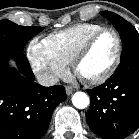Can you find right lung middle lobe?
<instances>
[{"label":"right lung middle lobe","mask_w":139,"mask_h":139,"mask_svg":"<svg viewBox=\"0 0 139 139\" xmlns=\"http://www.w3.org/2000/svg\"><path fill=\"white\" fill-rule=\"evenodd\" d=\"M41 27H24L9 20L0 21V46H13L21 50L26 43L42 31Z\"/></svg>","instance_id":"1"}]
</instances>
